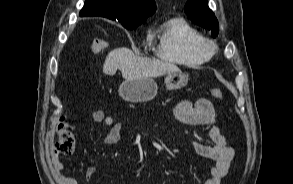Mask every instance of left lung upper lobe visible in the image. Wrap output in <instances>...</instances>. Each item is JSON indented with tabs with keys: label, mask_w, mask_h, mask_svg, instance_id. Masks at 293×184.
<instances>
[{
	"label": "left lung upper lobe",
	"mask_w": 293,
	"mask_h": 184,
	"mask_svg": "<svg viewBox=\"0 0 293 184\" xmlns=\"http://www.w3.org/2000/svg\"><path fill=\"white\" fill-rule=\"evenodd\" d=\"M184 11L194 23L211 30L213 37L218 35V21L209 9L207 0H188Z\"/></svg>",
	"instance_id": "5c2ea615"
}]
</instances>
